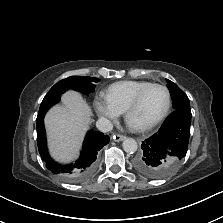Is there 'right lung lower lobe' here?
Instances as JSON below:
<instances>
[{"label":"right lung lower lobe","instance_id":"1","mask_svg":"<svg viewBox=\"0 0 223 223\" xmlns=\"http://www.w3.org/2000/svg\"><path fill=\"white\" fill-rule=\"evenodd\" d=\"M60 98H57L49 103L40 106L36 119L37 127V145L39 153L44 160L46 167L58 175L64 181L70 183L80 182L89 177L95 167V161L98 152L104 145L109 143V136L98 131H89L86 135L80 158L72 165H61L50 158L46 147V135L44 128V115L47 110L58 103Z\"/></svg>","mask_w":223,"mask_h":223}]
</instances>
